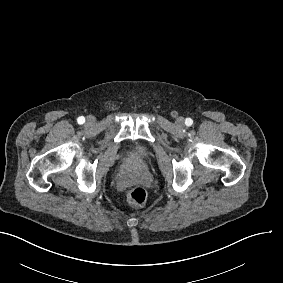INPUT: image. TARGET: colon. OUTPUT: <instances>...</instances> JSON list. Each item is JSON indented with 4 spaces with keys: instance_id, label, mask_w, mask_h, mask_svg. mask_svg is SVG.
Instances as JSON below:
<instances>
[{
    "instance_id": "1",
    "label": "colon",
    "mask_w": 283,
    "mask_h": 283,
    "mask_svg": "<svg viewBox=\"0 0 283 283\" xmlns=\"http://www.w3.org/2000/svg\"><path fill=\"white\" fill-rule=\"evenodd\" d=\"M128 201L131 205L142 206L147 198V191L143 187H135L128 193Z\"/></svg>"
}]
</instances>
